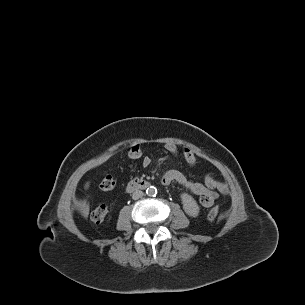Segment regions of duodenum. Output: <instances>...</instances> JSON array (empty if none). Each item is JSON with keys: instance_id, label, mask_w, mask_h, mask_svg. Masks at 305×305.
<instances>
[{"instance_id": "410a0bca", "label": "duodenum", "mask_w": 305, "mask_h": 305, "mask_svg": "<svg viewBox=\"0 0 305 305\" xmlns=\"http://www.w3.org/2000/svg\"><path fill=\"white\" fill-rule=\"evenodd\" d=\"M149 186H150V182L148 180L137 178V179L131 180L127 184L126 190H127V192H133V191H136V190L146 189Z\"/></svg>"}]
</instances>
